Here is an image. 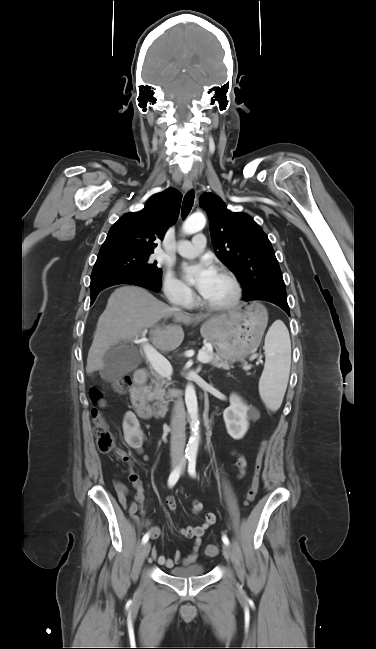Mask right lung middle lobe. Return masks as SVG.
Segmentation results:
<instances>
[{"label": "right lung middle lobe", "mask_w": 376, "mask_h": 649, "mask_svg": "<svg viewBox=\"0 0 376 649\" xmlns=\"http://www.w3.org/2000/svg\"><path fill=\"white\" fill-rule=\"evenodd\" d=\"M153 251H117L98 254L91 278L109 273L143 275L161 281L162 270L150 258Z\"/></svg>", "instance_id": "obj_1"}]
</instances>
